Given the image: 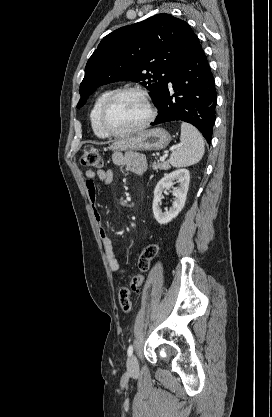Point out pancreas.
I'll return each instance as SVG.
<instances>
[{
	"label": "pancreas",
	"instance_id": "1",
	"mask_svg": "<svg viewBox=\"0 0 272 417\" xmlns=\"http://www.w3.org/2000/svg\"><path fill=\"white\" fill-rule=\"evenodd\" d=\"M152 168H153V170H158V169H161V170H167V169H169L170 168V166H169V163H168V161H166V162H162V163H156V162H153L152 163Z\"/></svg>",
	"mask_w": 272,
	"mask_h": 417
}]
</instances>
